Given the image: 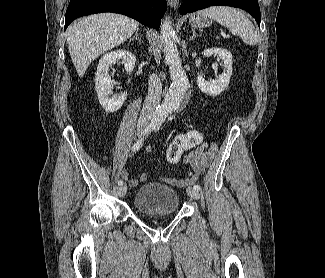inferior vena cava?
Instances as JSON below:
<instances>
[{
	"mask_svg": "<svg viewBox=\"0 0 325 278\" xmlns=\"http://www.w3.org/2000/svg\"><path fill=\"white\" fill-rule=\"evenodd\" d=\"M162 84L157 75L152 74L148 81V94L140 113L139 123H148L154 116L160 102Z\"/></svg>",
	"mask_w": 325,
	"mask_h": 278,
	"instance_id": "obj_1",
	"label": "inferior vena cava"
}]
</instances>
